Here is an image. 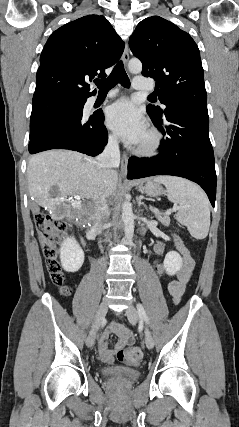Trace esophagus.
<instances>
[{"instance_id":"34e87169","label":"esophagus","mask_w":239,"mask_h":427,"mask_svg":"<svg viewBox=\"0 0 239 427\" xmlns=\"http://www.w3.org/2000/svg\"><path fill=\"white\" fill-rule=\"evenodd\" d=\"M122 60H123L124 64H127L128 60H129L128 44L125 45L123 55H122ZM127 165H128V156L126 153H123L122 157H121V173L123 176H126V174H127Z\"/></svg>"}]
</instances>
